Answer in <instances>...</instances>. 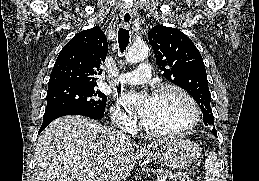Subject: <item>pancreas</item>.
<instances>
[{"label": "pancreas", "instance_id": "pancreas-1", "mask_svg": "<svg viewBox=\"0 0 259 181\" xmlns=\"http://www.w3.org/2000/svg\"><path fill=\"white\" fill-rule=\"evenodd\" d=\"M157 176H164L168 177L172 181H191L190 180V173L189 172H183V173H172L168 170L164 169H157L153 171Z\"/></svg>", "mask_w": 259, "mask_h": 181}]
</instances>
